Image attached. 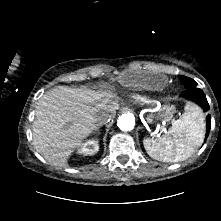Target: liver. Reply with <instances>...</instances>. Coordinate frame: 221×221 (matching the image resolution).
<instances>
[{
  "instance_id": "6515ba94",
  "label": "liver",
  "mask_w": 221,
  "mask_h": 221,
  "mask_svg": "<svg viewBox=\"0 0 221 221\" xmlns=\"http://www.w3.org/2000/svg\"><path fill=\"white\" fill-rule=\"evenodd\" d=\"M118 97L110 90L58 86L37 103L32 125L33 145L54 166L67 167L68 159L93 130L103 113L114 118Z\"/></svg>"
}]
</instances>
